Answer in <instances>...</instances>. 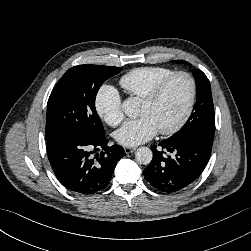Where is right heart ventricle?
I'll return each mask as SVG.
<instances>
[{
    "label": "right heart ventricle",
    "mask_w": 251,
    "mask_h": 251,
    "mask_svg": "<svg viewBox=\"0 0 251 251\" xmlns=\"http://www.w3.org/2000/svg\"><path fill=\"white\" fill-rule=\"evenodd\" d=\"M174 72L173 69L162 66L140 67L123 75L120 85L129 95L142 99Z\"/></svg>",
    "instance_id": "obj_1"
}]
</instances>
